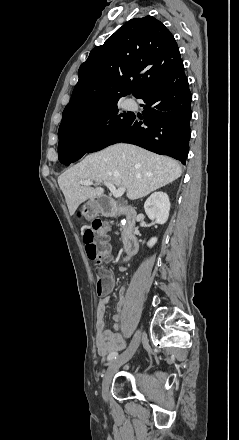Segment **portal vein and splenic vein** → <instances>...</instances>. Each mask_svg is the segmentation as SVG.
<instances>
[{
	"label": "portal vein and splenic vein",
	"mask_w": 239,
	"mask_h": 440,
	"mask_svg": "<svg viewBox=\"0 0 239 440\" xmlns=\"http://www.w3.org/2000/svg\"><path fill=\"white\" fill-rule=\"evenodd\" d=\"M79 184H82V186H93L92 180H81ZM104 186H107L114 198H121L124 192H126L125 188H118V190H116L115 186H113V184H109V182H104Z\"/></svg>",
	"instance_id": "obj_1"
}]
</instances>
